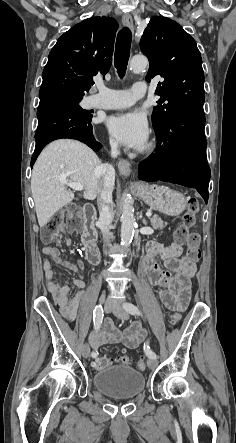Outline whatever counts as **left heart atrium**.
<instances>
[{"label":"left heart atrium","mask_w":236,"mask_h":443,"mask_svg":"<svg viewBox=\"0 0 236 443\" xmlns=\"http://www.w3.org/2000/svg\"><path fill=\"white\" fill-rule=\"evenodd\" d=\"M108 133L118 143L134 149L143 148L148 141L146 118L138 112H122L106 119Z\"/></svg>","instance_id":"39dd6f15"}]
</instances>
